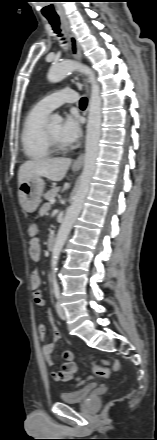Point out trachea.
<instances>
[{"instance_id": "1", "label": "trachea", "mask_w": 157, "mask_h": 440, "mask_svg": "<svg viewBox=\"0 0 157 440\" xmlns=\"http://www.w3.org/2000/svg\"><path fill=\"white\" fill-rule=\"evenodd\" d=\"M49 23L51 24L53 30L55 33H57L59 36H62V34L60 33V21L58 18H47ZM87 106V98L83 97L80 100V107L81 108H85Z\"/></svg>"}]
</instances>
